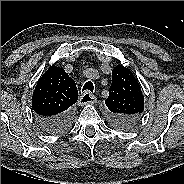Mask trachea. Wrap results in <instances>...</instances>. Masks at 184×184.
I'll return each mask as SVG.
<instances>
[{
    "instance_id": "trachea-1",
    "label": "trachea",
    "mask_w": 184,
    "mask_h": 184,
    "mask_svg": "<svg viewBox=\"0 0 184 184\" xmlns=\"http://www.w3.org/2000/svg\"><path fill=\"white\" fill-rule=\"evenodd\" d=\"M85 90L93 92L94 86H93V83L91 81H88L84 84L82 91H85Z\"/></svg>"
}]
</instances>
